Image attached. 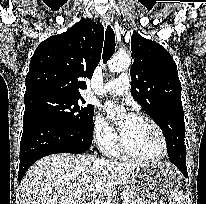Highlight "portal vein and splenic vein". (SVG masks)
Instances as JSON below:
<instances>
[{
	"instance_id": "obj_1",
	"label": "portal vein and splenic vein",
	"mask_w": 206,
	"mask_h": 204,
	"mask_svg": "<svg viewBox=\"0 0 206 204\" xmlns=\"http://www.w3.org/2000/svg\"><path fill=\"white\" fill-rule=\"evenodd\" d=\"M80 192L76 193L75 195H78ZM126 191L121 192V198H125L126 197Z\"/></svg>"
}]
</instances>
